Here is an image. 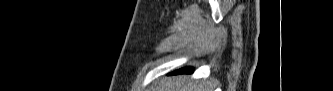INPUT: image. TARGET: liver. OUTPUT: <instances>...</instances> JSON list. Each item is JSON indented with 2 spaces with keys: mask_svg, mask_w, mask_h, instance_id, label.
I'll return each instance as SVG.
<instances>
[{
  "mask_svg": "<svg viewBox=\"0 0 333 91\" xmlns=\"http://www.w3.org/2000/svg\"><path fill=\"white\" fill-rule=\"evenodd\" d=\"M209 89L211 86L208 83L188 82L185 78H180L179 81H174L172 84L168 82L160 91H210Z\"/></svg>",
  "mask_w": 333,
  "mask_h": 91,
  "instance_id": "liver-1",
  "label": "liver"
}]
</instances>
